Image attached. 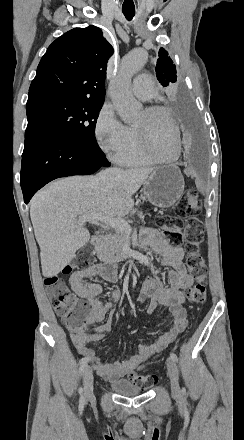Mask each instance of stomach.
Returning <instances> with one entry per match:
<instances>
[{
	"label": "stomach",
	"instance_id": "1",
	"mask_svg": "<svg viewBox=\"0 0 244 440\" xmlns=\"http://www.w3.org/2000/svg\"><path fill=\"white\" fill-rule=\"evenodd\" d=\"M185 188L184 178L178 166L169 164L155 168L147 178L143 194L157 208H170L180 200Z\"/></svg>",
	"mask_w": 244,
	"mask_h": 440
}]
</instances>
